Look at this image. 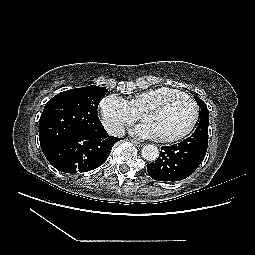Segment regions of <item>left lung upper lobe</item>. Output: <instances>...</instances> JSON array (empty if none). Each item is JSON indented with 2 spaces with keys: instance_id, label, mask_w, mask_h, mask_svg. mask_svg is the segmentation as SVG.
<instances>
[{
  "instance_id": "left-lung-upper-lobe-1",
  "label": "left lung upper lobe",
  "mask_w": 255,
  "mask_h": 255,
  "mask_svg": "<svg viewBox=\"0 0 255 255\" xmlns=\"http://www.w3.org/2000/svg\"><path fill=\"white\" fill-rule=\"evenodd\" d=\"M197 102L199 104V107L201 108L200 111V122L198 124V127L201 125H208L209 124V111L207 109V106L205 105L204 101L197 98Z\"/></svg>"
}]
</instances>
